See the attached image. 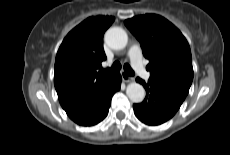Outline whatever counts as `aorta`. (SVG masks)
<instances>
[{
  "instance_id": "1",
  "label": "aorta",
  "mask_w": 230,
  "mask_h": 155,
  "mask_svg": "<svg viewBox=\"0 0 230 155\" xmlns=\"http://www.w3.org/2000/svg\"><path fill=\"white\" fill-rule=\"evenodd\" d=\"M105 42L110 48L120 50L127 45L128 36L124 29L120 27H112L105 33ZM126 94L134 103L142 102L145 98V90L143 86L136 82L127 85Z\"/></svg>"
}]
</instances>
